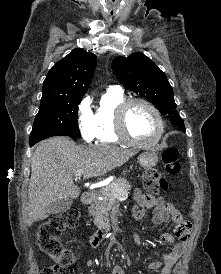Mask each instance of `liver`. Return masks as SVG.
Wrapping results in <instances>:
<instances>
[{"instance_id":"liver-1","label":"liver","mask_w":221,"mask_h":274,"mask_svg":"<svg viewBox=\"0 0 221 274\" xmlns=\"http://www.w3.org/2000/svg\"><path fill=\"white\" fill-rule=\"evenodd\" d=\"M136 153L109 145L79 146L66 137L40 142L31 159L27 225L45 219L50 214L47 206L57 199L80 195V188L74 184L77 171H84V179L102 176L125 164Z\"/></svg>"}]
</instances>
